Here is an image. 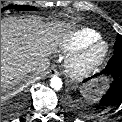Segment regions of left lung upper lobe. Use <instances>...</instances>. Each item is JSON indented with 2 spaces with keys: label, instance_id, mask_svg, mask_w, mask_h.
Returning a JSON list of instances; mask_svg holds the SVG:
<instances>
[{
  "label": "left lung upper lobe",
  "instance_id": "obj_1",
  "mask_svg": "<svg viewBox=\"0 0 122 122\" xmlns=\"http://www.w3.org/2000/svg\"><path fill=\"white\" fill-rule=\"evenodd\" d=\"M115 54H122V36L117 34L116 42L114 45V55Z\"/></svg>",
  "mask_w": 122,
  "mask_h": 122
}]
</instances>
